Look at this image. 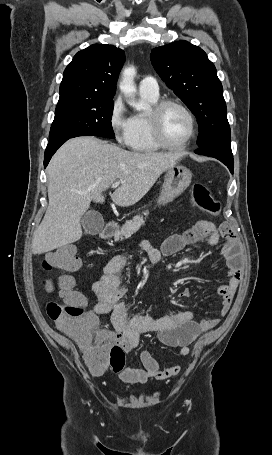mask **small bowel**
Returning <instances> with one entry per match:
<instances>
[{
    "mask_svg": "<svg viewBox=\"0 0 272 455\" xmlns=\"http://www.w3.org/2000/svg\"><path fill=\"white\" fill-rule=\"evenodd\" d=\"M221 238L226 240L222 247V254L228 269L227 282L217 289L222 298L219 315L223 317L231 306L242 276L239 248L230 225L223 223L220 227H216L210 221L200 220L184 232L168 236L160 249L155 248L149 241L143 242L140 248L148 255L151 265L154 266L162 256L176 254L188 245L205 241L210 247H214ZM128 259L127 253L112 258L105 266L100 279L92 286L95 303L89 314L96 320L97 315H110L113 326V330L100 331L99 336L119 344L126 352H129L139 345L142 334L153 332L157 334L163 344L178 348L182 356L188 355L189 346L201 333L215 327L219 323V319H203L198 322L194 320V314L189 310L157 317L145 314L131 315L128 305L121 301L126 293V288L121 280V272ZM189 296L190 290L187 288L180 293V297ZM179 372V365L161 368L148 351L141 352L139 367H123L116 371L120 381L129 385L143 384L150 378L165 380L176 376Z\"/></svg>",
    "mask_w": 272,
    "mask_h": 455,
    "instance_id": "1",
    "label": "small bowel"
}]
</instances>
